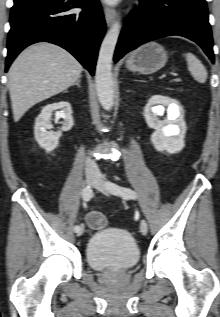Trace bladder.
<instances>
[{"label":"bladder","instance_id":"31cf9c89","mask_svg":"<svg viewBox=\"0 0 220 317\" xmlns=\"http://www.w3.org/2000/svg\"><path fill=\"white\" fill-rule=\"evenodd\" d=\"M86 263L99 272L128 271L140 260V250L133 236L119 228H105L87 241Z\"/></svg>","mask_w":220,"mask_h":317}]
</instances>
